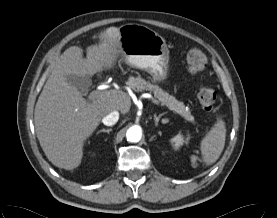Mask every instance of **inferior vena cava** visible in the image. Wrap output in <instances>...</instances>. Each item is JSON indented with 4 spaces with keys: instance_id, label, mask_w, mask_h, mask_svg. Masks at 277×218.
<instances>
[{
    "instance_id": "1",
    "label": "inferior vena cava",
    "mask_w": 277,
    "mask_h": 218,
    "mask_svg": "<svg viewBox=\"0 0 277 218\" xmlns=\"http://www.w3.org/2000/svg\"><path fill=\"white\" fill-rule=\"evenodd\" d=\"M119 119V112L114 110L107 114L105 117H103L102 122L106 126H112L117 123Z\"/></svg>"
}]
</instances>
